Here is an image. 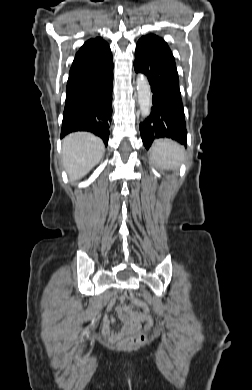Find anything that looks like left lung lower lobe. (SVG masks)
<instances>
[{
    "label": "left lung lower lobe",
    "instance_id": "left-lung-lower-lobe-1",
    "mask_svg": "<svg viewBox=\"0 0 252 390\" xmlns=\"http://www.w3.org/2000/svg\"><path fill=\"white\" fill-rule=\"evenodd\" d=\"M134 69L146 75L153 93L150 115L140 123L145 148L149 149L155 139L162 137L186 145V122L175 61L155 46L138 41Z\"/></svg>",
    "mask_w": 252,
    "mask_h": 390
}]
</instances>
